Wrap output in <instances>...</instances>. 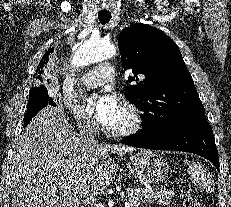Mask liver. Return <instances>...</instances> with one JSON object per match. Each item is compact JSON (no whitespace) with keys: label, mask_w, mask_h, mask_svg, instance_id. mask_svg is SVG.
Instances as JSON below:
<instances>
[{"label":"liver","mask_w":231,"mask_h":207,"mask_svg":"<svg viewBox=\"0 0 231 207\" xmlns=\"http://www.w3.org/2000/svg\"><path fill=\"white\" fill-rule=\"evenodd\" d=\"M124 145L86 147L60 108H43L17 140L11 159V207H79L105 190Z\"/></svg>","instance_id":"6515ba94"}]
</instances>
